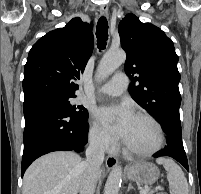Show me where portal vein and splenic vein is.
<instances>
[{
    "label": "portal vein and splenic vein",
    "mask_w": 201,
    "mask_h": 194,
    "mask_svg": "<svg viewBox=\"0 0 201 194\" xmlns=\"http://www.w3.org/2000/svg\"><path fill=\"white\" fill-rule=\"evenodd\" d=\"M149 191V188L141 189L140 194H146Z\"/></svg>",
    "instance_id": "portal-vein-and-splenic-vein-1"
}]
</instances>
